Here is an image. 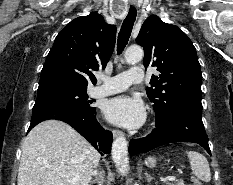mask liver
Wrapping results in <instances>:
<instances>
[{"label":"liver","mask_w":233,"mask_h":185,"mask_svg":"<svg viewBox=\"0 0 233 185\" xmlns=\"http://www.w3.org/2000/svg\"><path fill=\"white\" fill-rule=\"evenodd\" d=\"M100 154L68 124L47 120L24 139L17 185H89Z\"/></svg>","instance_id":"obj_1"}]
</instances>
